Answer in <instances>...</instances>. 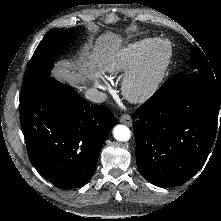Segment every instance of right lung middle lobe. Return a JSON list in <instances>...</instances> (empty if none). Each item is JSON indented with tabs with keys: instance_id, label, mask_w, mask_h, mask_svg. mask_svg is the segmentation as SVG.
Returning <instances> with one entry per match:
<instances>
[{
	"instance_id": "right-lung-middle-lobe-1",
	"label": "right lung middle lobe",
	"mask_w": 221,
	"mask_h": 221,
	"mask_svg": "<svg viewBox=\"0 0 221 221\" xmlns=\"http://www.w3.org/2000/svg\"><path fill=\"white\" fill-rule=\"evenodd\" d=\"M57 33L50 30L46 33L37 49L35 50L27 70L24 74L23 84L20 93L22 101L29 93L35 90L41 82L50 77V70L53 67L52 50L57 44Z\"/></svg>"
}]
</instances>
